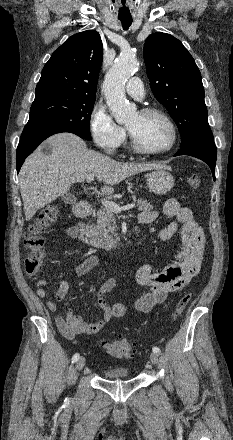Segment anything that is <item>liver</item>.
Masks as SVG:
<instances>
[{
  "instance_id": "1",
  "label": "liver",
  "mask_w": 233,
  "mask_h": 440,
  "mask_svg": "<svg viewBox=\"0 0 233 440\" xmlns=\"http://www.w3.org/2000/svg\"><path fill=\"white\" fill-rule=\"evenodd\" d=\"M45 144L52 147L46 155L40 146L24 162L19 172L20 192L26 220L67 193L75 182L96 176L104 183V195L114 192L113 185L129 176L153 169H166L161 163H125L89 150L85 142L72 133H58Z\"/></svg>"
}]
</instances>
